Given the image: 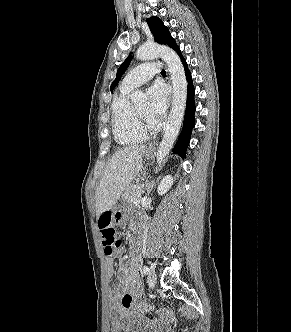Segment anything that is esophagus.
<instances>
[{
    "label": "esophagus",
    "mask_w": 291,
    "mask_h": 332,
    "mask_svg": "<svg viewBox=\"0 0 291 332\" xmlns=\"http://www.w3.org/2000/svg\"><path fill=\"white\" fill-rule=\"evenodd\" d=\"M168 81L170 82V77L168 76ZM154 146V143L150 144V147Z\"/></svg>",
    "instance_id": "esophagus-1"
}]
</instances>
